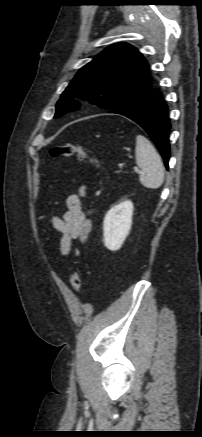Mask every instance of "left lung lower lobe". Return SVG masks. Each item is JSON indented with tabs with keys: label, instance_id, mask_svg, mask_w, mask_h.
Here are the masks:
<instances>
[{
	"label": "left lung lower lobe",
	"instance_id": "1",
	"mask_svg": "<svg viewBox=\"0 0 202 437\" xmlns=\"http://www.w3.org/2000/svg\"><path fill=\"white\" fill-rule=\"evenodd\" d=\"M109 113L121 114L139 124L155 143L168 169L171 124L168 107L156 88L151 86L139 95L112 108Z\"/></svg>",
	"mask_w": 202,
	"mask_h": 437
}]
</instances>
